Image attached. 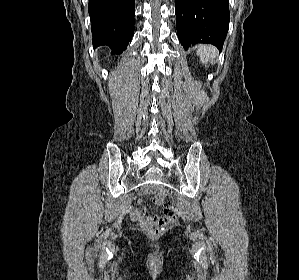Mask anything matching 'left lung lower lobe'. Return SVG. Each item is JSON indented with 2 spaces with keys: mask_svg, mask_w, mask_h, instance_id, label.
<instances>
[{
  "mask_svg": "<svg viewBox=\"0 0 299 280\" xmlns=\"http://www.w3.org/2000/svg\"><path fill=\"white\" fill-rule=\"evenodd\" d=\"M175 13L178 38L185 49L197 43L222 49L230 20L228 0H176Z\"/></svg>",
  "mask_w": 299,
  "mask_h": 280,
  "instance_id": "obj_1",
  "label": "left lung lower lobe"
}]
</instances>
